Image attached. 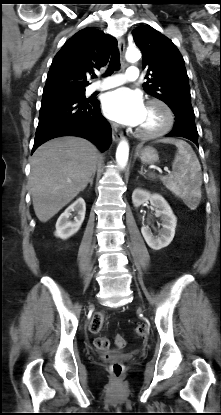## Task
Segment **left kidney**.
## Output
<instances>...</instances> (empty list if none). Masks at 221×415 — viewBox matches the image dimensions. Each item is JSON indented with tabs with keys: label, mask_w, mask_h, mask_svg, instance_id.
I'll return each instance as SVG.
<instances>
[{
	"label": "left kidney",
	"mask_w": 221,
	"mask_h": 415,
	"mask_svg": "<svg viewBox=\"0 0 221 415\" xmlns=\"http://www.w3.org/2000/svg\"><path fill=\"white\" fill-rule=\"evenodd\" d=\"M150 201L155 207L156 216L161 218L162 228L157 236H154L148 225L141 228L142 235L148 246L154 250H160L167 247L174 238L177 218L172 212L167 201L159 194H151L145 190L136 189L132 194V202L135 207ZM144 221V219H143Z\"/></svg>",
	"instance_id": "obj_1"
}]
</instances>
